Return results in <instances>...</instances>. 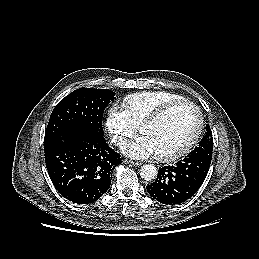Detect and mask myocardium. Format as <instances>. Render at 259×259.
I'll use <instances>...</instances> for the list:
<instances>
[{
	"mask_svg": "<svg viewBox=\"0 0 259 259\" xmlns=\"http://www.w3.org/2000/svg\"><path fill=\"white\" fill-rule=\"evenodd\" d=\"M181 105L190 106L195 110V112L197 114V118H198L197 128H196L193 136L180 149H178L172 153H168V154H164V155H156V158L159 161H163V162L175 161V160L183 157L184 155H186L195 146V144L198 142V140L203 132V128H204L203 113H202L201 109L199 108V106L196 105L194 102L187 100V99H182V100H178V101H173L171 103H168V104L162 106L161 108H159L157 111H155L154 113L149 115L147 118H145L140 123L139 130L141 132L142 127L151 125V124H154V123L160 121L169 112H171L173 109H175L176 107L181 106Z\"/></svg>",
	"mask_w": 259,
	"mask_h": 259,
	"instance_id": "myocardium-1",
	"label": "myocardium"
}]
</instances>
